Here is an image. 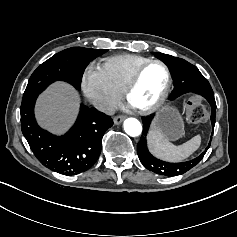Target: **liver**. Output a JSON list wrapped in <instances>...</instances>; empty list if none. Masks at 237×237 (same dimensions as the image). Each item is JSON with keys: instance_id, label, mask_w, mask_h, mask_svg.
Returning a JSON list of instances; mask_svg holds the SVG:
<instances>
[{"instance_id": "6515ba94", "label": "liver", "mask_w": 237, "mask_h": 237, "mask_svg": "<svg viewBox=\"0 0 237 237\" xmlns=\"http://www.w3.org/2000/svg\"><path fill=\"white\" fill-rule=\"evenodd\" d=\"M77 101L78 97L71 88L56 84L41 96L37 107L38 118L44 126L59 132L74 117Z\"/></svg>"}]
</instances>
